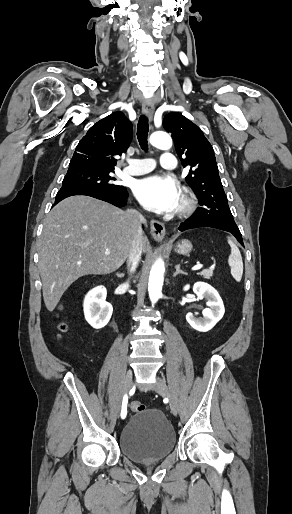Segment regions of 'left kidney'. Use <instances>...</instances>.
I'll return each mask as SVG.
<instances>
[{
	"instance_id": "1",
	"label": "left kidney",
	"mask_w": 292,
	"mask_h": 514,
	"mask_svg": "<svg viewBox=\"0 0 292 514\" xmlns=\"http://www.w3.org/2000/svg\"><path fill=\"white\" fill-rule=\"evenodd\" d=\"M189 288L190 286H185L184 290H189ZM193 292L197 294L198 298H206L208 300L206 302L208 308L203 310V318H195L193 314H187L186 320L194 330L209 332L224 316L225 308L223 302L217 290H214L212 286L205 284V282H196L193 286Z\"/></svg>"
}]
</instances>
